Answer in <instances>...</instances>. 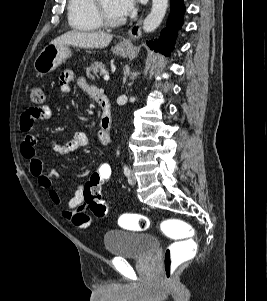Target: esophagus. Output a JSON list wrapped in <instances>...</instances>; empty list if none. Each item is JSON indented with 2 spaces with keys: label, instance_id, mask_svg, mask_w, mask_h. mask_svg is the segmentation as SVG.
Segmentation results:
<instances>
[{
  "label": "esophagus",
  "instance_id": "esophagus-1",
  "mask_svg": "<svg viewBox=\"0 0 267 301\" xmlns=\"http://www.w3.org/2000/svg\"><path fill=\"white\" fill-rule=\"evenodd\" d=\"M141 24L142 19H139L137 23L130 28L128 38L121 43L122 46H130L133 40H136L141 36Z\"/></svg>",
  "mask_w": 267,
  "mask_h": 301
}]
</instances>
